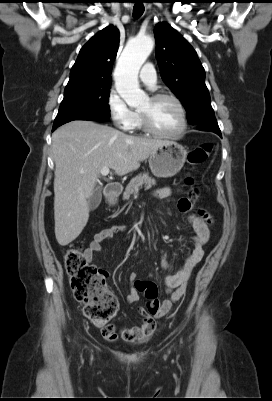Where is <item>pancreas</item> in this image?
<instances>
[{"instance_id": "obj_1", "label": "pancreas", "mask_w": 272, "mask_h": 401, "mask_svg": "<svg viewBox=\"0 0 272 401\" xmlns=\"http://www.w3.org/2000/svg\"><path fill=\"white\" fill-rule=\"evenodd\" d=\"M156 185V181L154 178L150 177L148 173L139 174L136 177L132 178L129 184L126 186L125 191L123 193V200H129L130 196L138 191L142 186L145 189H150L152 186Z\"/></svg>"}]
</instances>
